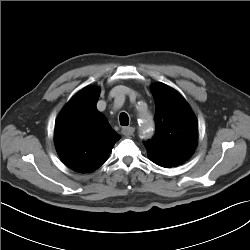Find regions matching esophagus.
I'll return each mask as SVG.
<instances>
[{
  "label": "esophagus",
  "mask_w": 250,
  "mask_h": 250,
  "mask_svg": "<svg viewBox=\"0 0 250 250\" xmlns=\"http://www.w3.org/2000/svg\"><path fill=\"white\" fill-rule=\"evenodd\" d=\"M121 132L125 136H131L135 132V128L134 127H123Z\"/></svg>",
  "instance_id": "34e87169"
}]
</instances>
